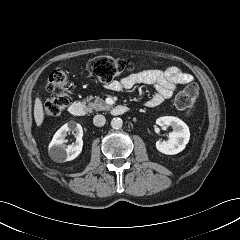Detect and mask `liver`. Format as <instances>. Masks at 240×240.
I'll return each instance as SVG.
<instances>
[{
  "mask_svg": "<svg viewBox=\"0 0 240 240\" xmlns=\"http://www.w3.org/2000/svg\"><path fill=\"white\" fill-rule=\"evenodd\" d=\"M34 118L37 126H41L44 120V111L42 102L39 98H36L34 105Z\"/></svg>",
  "mask_w": 240,
  "mask_h": 240,
  "instance_id": "6515ba94",
  "label": "liver"
}]
</instances>
